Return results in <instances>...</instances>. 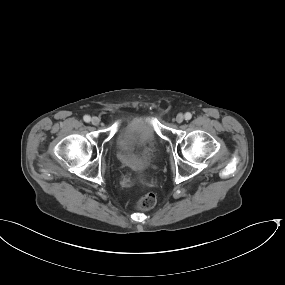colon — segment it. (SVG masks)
Masks as SVG:
<instances>
[{
    "instance_id": "5ec220e1",
    "label": "colon",
    "mask_w": 285,
    "mask_h": 285,
    "mask_svg": "<svg viewBox=\"0 0 285 285\" xmlns=\"http://www.w3.org/2000/svg\"><path fill=\"white\" fill-rule=\"evenodd\" d=\"M157 202L156 195L152 192L145 193L138 201L137 206L141 210L152 209Z\"/></svg>"
}]
</instances>
